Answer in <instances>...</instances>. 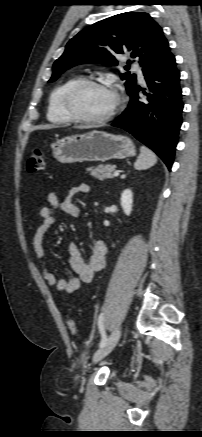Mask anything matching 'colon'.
Instances as JSON below:
<instances>
[{
	"label": "colon",
	"instance_id": "5ec220e1",
	"mask_svg": "<svg viewBox=\"0 0 202 437\" xmlns=\"http://www.w3.org/2000/svg\"><path fill=\"white\" fill-rule=\"evenodd\" d=\"M45 161H44V155L41 149L35 148L32 150L30 157L28 159L27 168L29 172H38L44 169ZM68 329L71 334H76L77 332V324L75 320L69 319L68 320Z\"/></svg>",
	"mask_w": 202,
	"mask_h": 437
}]
</instances>
